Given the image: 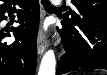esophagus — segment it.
I'll return each instance as SVG.
<instances>
[{"mask_svg":"<svg viewBox=\"0 0 107 75\" xmlns=\"http://www.w3.org/2000/svg\"><path fill=\"white\" fill-rule=\"evenodd\" d=\"M43 18H44V12L41 9V19H43ZM47 47H48L47 36L44 34L42 28H40L39 32H38V37H37V50H38V54L42 55Z\"/></svg>","mask_w":107,"mask_h":75,"instance_id":"34e87169","label":"esophagus"}]
</instances>
